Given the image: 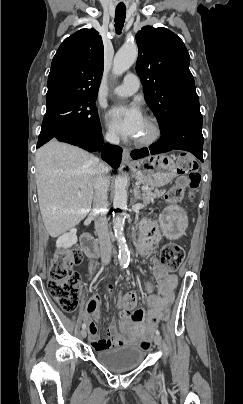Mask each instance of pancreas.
I'll list each match as a JSON object with an SVG mask.
<instances>
[{
    "label": "pancreas",
    "instance_id": "pancreas-1",
    "mask_svg": "<svg viewBox=\"0 0 243 404\" xmlns=\"http://www.w3.org/2000/svg\"><path fill=\"white\" fill-rule=\"evenodd\" d=\"M165 190H157V188H149V190H144L143 192V204H150L151 200H154V198H160V196H163Z\"/></svg>",
    "mask_w": 243,
    "mask_h": 404
}]
</instances>
